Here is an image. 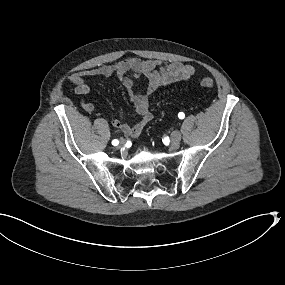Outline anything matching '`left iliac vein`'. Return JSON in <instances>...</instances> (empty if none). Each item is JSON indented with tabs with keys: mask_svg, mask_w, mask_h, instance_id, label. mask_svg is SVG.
Wrapping results in <instances>:
<instances>
[{
	"mask_svg": "<svg viewBox=\"0 0 285 285\" xmlns=\"http://www.w3.org/2000/svg\"><path fill=\"white\" fill-rule=\"evenodd\" d=\"M171 146L173 148H178L181 141V133L178 130H175L171 133Z\"/></svg>",
	"mask_w": 285,
	"mask_h": 285,
	"instance_id": "4c4485c4",
	"label": "left iliac vein"
}]
</instances>
